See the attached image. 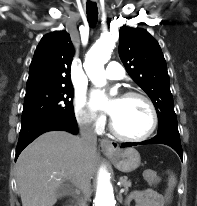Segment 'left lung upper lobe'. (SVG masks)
I'll return each instance as SVG.
<instances>
[{
	"label": "left lung upper lobe",
	"instance_id": "5c2ea615",
	"mask_svg": "<svg viewBox=\"0 0 197 206\" xmlns=\"http://www.w3.org/2000/svg\"><path fill=\"white\" fill-rule=\"evenodd\" d=\"M119 56L131 78L147 93L158 115V133L178 132L166 61L158 42L143 29L121 27Z\"/></svg>",
	"mask_w": 197,
	"mask_h": 206
}]
</instances>
